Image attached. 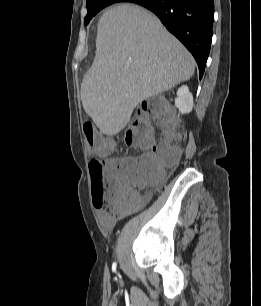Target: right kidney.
Listing matches in <instances>:
<instances>
[{"label":"right kidney","mask_w":261,"mask_h":306,"mask_svg":"<svg viewBox=\"0 0 261 306\" xmlns=\"http://www.w3.org/2000/svg\"><path fill=\"white\" fill-rule=\"evenodd\" d=\"M175 105L182 114L191 112L193 108V96L187 86H182L178 89Z\"/></svg>","instance_id":"right-kidney-1"}]
</instances>
